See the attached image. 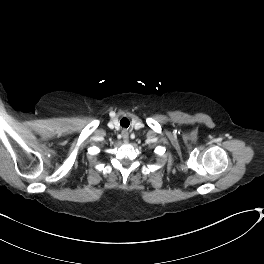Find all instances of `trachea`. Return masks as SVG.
Instances as JSON below:
<instances>
[{"mask_svg":"<svg viewBox=\"0 0 264 264\" xmlns=\"http://www.w3.org/2000/svg\"><path fill=\"white\" fill-rule=\"evenodd\" d=\"M129 124H130V122H129V120L127 119V118H122L121 119V121H120V125L122 126V127H128L129 126Z\"/></svg>","mask_w":264,"mask_h":264,"instance_id":"1","label":"trachea"}]
</instances>
